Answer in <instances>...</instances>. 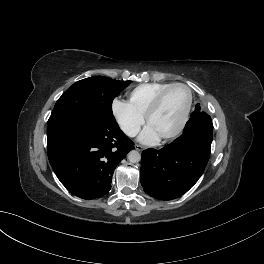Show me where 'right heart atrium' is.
<instances>
[{
    "label": "right heart atrium",
    "mask_w": 264,
    "mask_h": 264,
    "mask_svg": "<svg viewBox=\"0 0 264 264\" xmlns=\"http://www.w3.org/2000/svg\"><path fill=\"white\" fill-rule=\"evenodd\" d=\"M113 116L122 132L128 136H135L144 122V118L124 100L116 99L112 104Z\"/></svg>",
    "instance_id": "1"
}]
</instances>
